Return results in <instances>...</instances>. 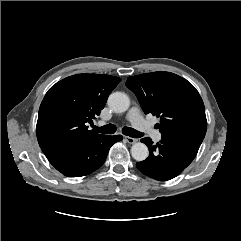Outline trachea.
<instances>
[{"instance_id": "obj_1", "label": "trachea", "mask_w": 241, "mask_h": 241, "mask_svg": "<svg viewBox=\"0 0 241 241\" xmlns=\"http://www.w3.org/2000/svg\"><path fill=\"white\" fill-rule=\"evenodd\" d=\"M96 132L103 133V134H114L116 132V126L113 124L104 125L102 127L92 126ZM122 133L126 136L139 138L142 137L143 134L138 132L137 130L131 127H124L122 129Z\"/></svg>"}]
</instances>
